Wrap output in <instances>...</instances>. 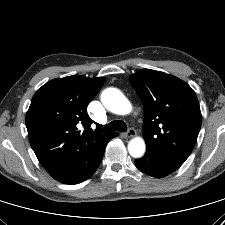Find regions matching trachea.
<instances>
[{"mask_svg": "<svg viewBox=\"0 0 225 225\" xmlns=\"http://www.w3.org/2000/svg\"><path fill=\"white\" fill-rule=\"evenodd\" d=\"M104 131L112 132V131H119V132H126L127 125L124 121L121 120H114L109 124H106L104 127Z\"/></svg>", "mask_w": 225, "mask_h": 225, "instance_id": "1", "label": "trachea"}]
</instances>
